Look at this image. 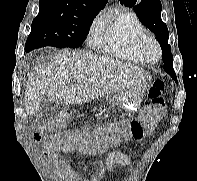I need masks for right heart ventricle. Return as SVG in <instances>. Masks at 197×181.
Masks as SVG:
<instances>
[{"mask_svg":"<svg viewBox=\"0 0 197 181\" xmlns=\"http://www.w3.org/2000/svg\"><path fill=\"white\" fill-rule=\"evenodd\" d=\"M144 32L134 12L121 10L101 19L92 37V48L108 57L142 64L145 61L137 52L135 42Z\"/></svg>","mask_w":197,"mask_h":181,"instance_id":"obj_1","label":"right heart ventricle"}]
</instances>
